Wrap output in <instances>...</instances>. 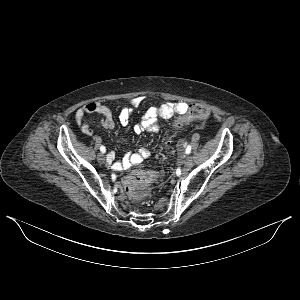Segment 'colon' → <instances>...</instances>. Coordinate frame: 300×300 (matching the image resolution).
<instances>
[{"instance_id": "5ec220e1", "label": "colon", "mask_w": 300, "mask_h": 300, "mask_svg": "<svg viewBox=\"0 0 300 300\" xmlns=\"http://www.w3.org/2000/svg\"><path fill=\"white\" fill-rule=\"evenodd\" d=\"M209 114L210 111L207 106L194 103L178 118L177 123L182 125L194 121L202 122L208 118ZM167 144H169V141ZM160 178V174L156 172H136L125 179L124 188L130 198L140 200L149 194V184L151 182H159Z\"/></svg>"}]
</instances>
